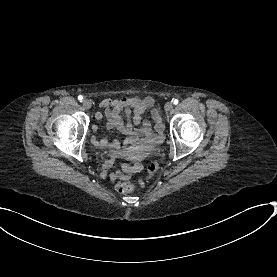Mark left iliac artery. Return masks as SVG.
<instances>
[{
    "label": "left iliac artery",
    "mask_w": 277,
    "mask_h": 277,
    "mask_svg": "<svg viewBox=\"0 0 277 277\" xmlns=\"http://www.w3.org/2000/svg\"><path fill=\"white\" fill-rule=\"evenodd\" d=\"M178 99H175L174 101H173V103L175 104V105H177L178 104Z\"/></svg>",
    "instance_id": "left-iliac-artery-1"
}]
</instances>
